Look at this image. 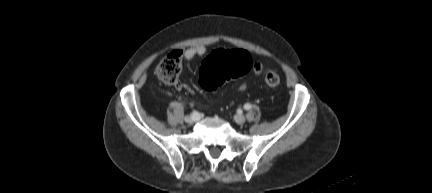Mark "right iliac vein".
I'll return each mask as SVG.
<instances>
[{
    "label": "right iliac vein",
    "mask_w": 432,
    "mask_h": 193,
    "mask_svg": "<svg viewBox=\"0 0 432 193\" xmlns=\"http://www.w3.org/2000/svg\"><path fill=\"white\" fill-rule=\"evenodd\" d=\"M184 120L187 123H193L199 120V115L197 114L196 116H186Z\"/></svg>",
    "instance_id": "1"
}]
</instances>
